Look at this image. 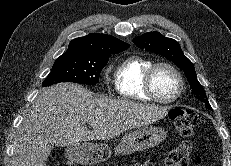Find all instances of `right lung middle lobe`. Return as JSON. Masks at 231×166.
<instances>
[{"label": "right lung middle lobe", "mask_w": 231, "mask_h": 166, "mask_svg": "<svg viewBox=\"0 0 231 166\" xmlns=\"http://www.w3.org/2000/svg\"><path fill=\"white\" fill-rule=\"evenodd\" d=\"M109 57L110 55L93 57L65 52L54 62L42 86L46 87L60 82L96 85L99 82L100 72Z\"/></svg>", "instance_id": "dd1d6c3e"}]
</instances>
